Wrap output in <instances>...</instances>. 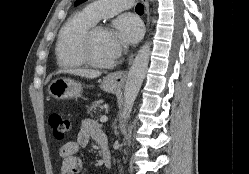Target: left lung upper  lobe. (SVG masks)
Masks as SVG:
<instances>
[{"label":"left lung upper lobe","mask_w":249,"mask_h":174,"mask_svg":"<svg viewBox=\"0 0 249 174\" xmlns=\"http://www.w3.org/2000/svg\"><path fill=\"white\" fill-rule=\"evenodd\" d=\"M84 1H86V0H77V1L75 2V5H78V4H80V3L84 2Z\"/></svg>","instance_id":"left-lung-upper-lobe-1"}]
</instances>
